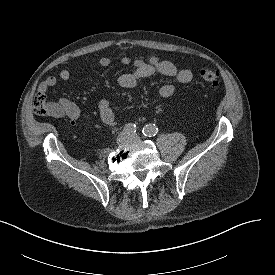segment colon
I'll list each match as a JSON object with an SVG mask.
<instances>
[{"label":"colon","instance_id":"1","mask_svg":"<svg viewBox=\"0 0 275 275\" xmlns=\"http://www.w3.org/2000/svg\"><path fill=\"white\" fill-rule=\"evenodd\" d=\"M199 77L207 87L214 88L218 85L219 73L213 68L205 67L201 69ZM33 108L37 115L48 116L53 109V104L48 99L46 93L39 89L33 98Z\"/></svg>","mask_w":275,"mask_h":275}]
</instances>
